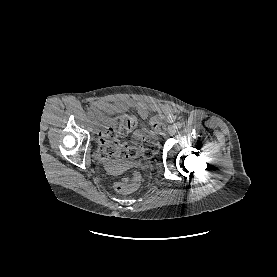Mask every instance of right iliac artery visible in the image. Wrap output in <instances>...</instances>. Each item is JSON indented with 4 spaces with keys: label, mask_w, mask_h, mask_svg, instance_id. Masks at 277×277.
Listing matches in <instances>:
<instances>
[{
    "label": "right iliac artery",
    "mask_w": 277,
    "mask_h": 277,
    "mask_svg": "<svg viewBox=\"0 0 277 277\" xmlns=\"http://www.w3.org/2000/svg\"><path fill=\"white\" fill-rule=\"evenodd\" d=\"M88 118H89V120H90L93 124L96 123V120H95V118H94V115H93L91 112L88 113Z\"/></svg>",
    "instance_id": "obj_1"
}]
</instances>
